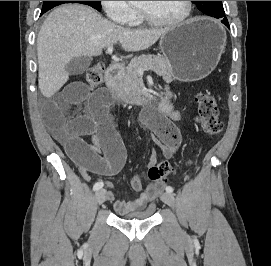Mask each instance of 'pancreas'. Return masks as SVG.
I'll return each mask as SVG.
<instances>
[{
    "mask_svg": "<svg viewBox=\"0 0 271 266\" xmlns=\"http://www.w3.org/2000/svg\"><path fill=\"white\" fill-rule=\"evenodd\" d=\"M139 68L151 70L164 78L170 77L171 66L161 56L142 55L133 59L125 68L122 79V90L129 98H137L145 93L146 88L139 73Z\"/></svg>",
    "mask_w": 271,
    "mask_h": 266,
    "instance_id": "cf45deb5",
    "label": "pancreas"
}]
</instances>
